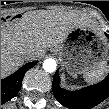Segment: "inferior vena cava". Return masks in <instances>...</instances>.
<instances>
[{
	"instance_id": "inferior-vena-cava-1",
	"label": "inferior vena cava",
	"mask_w": 109,
	"mask_h": 109,
	"mask_svg": "<svg viewBox=\"0 0 109 109\" xmlns=\"http://www.w3.org/2000/svg\"><path fill=\"white\" fill-rule=\"evenodd\" d=\"M22 57L24 58V60H31L33 59V53L29 50H26L22 53Z\"/></svg>"
}]
</instances>
